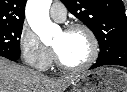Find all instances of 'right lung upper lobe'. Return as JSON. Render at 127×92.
I'll return each instance as SVG.
<instances>
[{"label": "right lung upper lobe", "instance_id": "right-lung-upper-lobe-1", "mask_svg": "<svg viewBox=\"0 0 127 92\" xmlns=\"http://www.w3.org/2000/svg\"><path fill=\"white\" fill-rule=\"evenodd\" d=\"M26 0H0V25H22Z\"/></svg>", "mask_w": 127, "mask_h": 92}]
</instances>
